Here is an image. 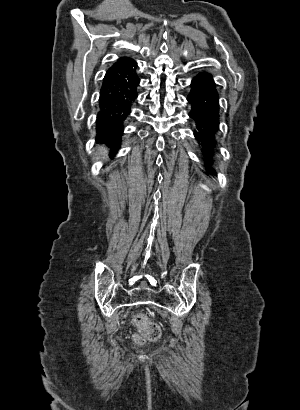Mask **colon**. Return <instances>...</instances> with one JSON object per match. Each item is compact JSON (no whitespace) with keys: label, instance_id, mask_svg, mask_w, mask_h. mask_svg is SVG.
<instances>
[{"label":"colon","instance_id":"obj_1","mask_svg":"<svg viewBox=\"0 0 300 410\" xmlns=\"http://www.w3.org/2000/svg\"><path fill=\"white\" fill-rule=\"evenodd\" d=\"M133 320L135 325L140 329V335L135 338L137 342H155L161 337L159 325L150 322L144 315H135Z\"/></svg>","mask_w":300,"mask_h":410}]
</instances>
